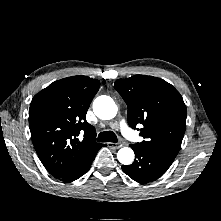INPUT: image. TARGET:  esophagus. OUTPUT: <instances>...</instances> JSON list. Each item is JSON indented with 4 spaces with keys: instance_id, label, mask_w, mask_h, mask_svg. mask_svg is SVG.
<instances>
[{
    "instance_id": "obj_1",
    "label": "esophagus",
    "mask_w": 221,
    "mask_h": 221,
    "mask_svg": "<svg viewBox=\"0 0 221 221\" xmlns=\"http://www.w3.org/2000/svg\"><path fill=\"white\" fill-rule=\"evenodd\" d=\"M107 146L110 148H114V149H119L121 148L123 145L120 143H112V142H108Z\"/></svg>"
}]
</instances>
